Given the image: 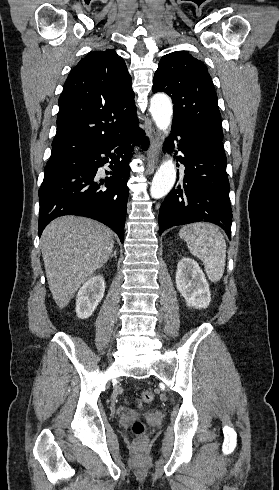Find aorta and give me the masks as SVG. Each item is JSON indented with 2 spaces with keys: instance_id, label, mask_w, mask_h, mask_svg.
<instances>
[{
  "instance_id": "obj_1",
  "label": "aorta",
  "mask_w": 279,
  "mask_h": 490,
  "mask_svg": "<svg viewBox=\"0 0 279 490\" xmlns=\"http://www.w3.org/2000/svg\"><path fill=\"white\" fill-rule=\"evenodd\" d=\"M150 112L157 128L167 135L173 115L171 99L166 94H155L150 101ZM175 180L176 167L172 157H168L153 177L150 187L152 198L159 199L167 195L174 186Z\"/></svg>"
}]
</instances>
